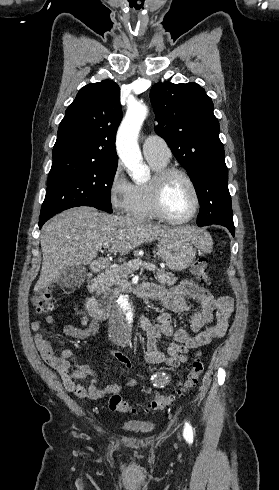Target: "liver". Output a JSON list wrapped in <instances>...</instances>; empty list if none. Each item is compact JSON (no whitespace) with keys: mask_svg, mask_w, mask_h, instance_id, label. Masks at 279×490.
Wrapping results in <instances>:
<instances>
[{"mask_svg":"<svg viewBox=\"0 0 279 490\" xmlns=\"http://www.w3.org/2000/svg\"><path fill=\"white\" fill-rule=\"evenodd\" d=\"M43 254L40 278L34 286L35 292L47 288L58 280L68 266H88L97 258L103 244L109 242V252L129 254L144 242L165 240L180 234L192 240L194 246L202 250V236L198 228H166L157 224H147L139 218L108 216L99 214L95 208H71L54 216L42 228Z\"/></svg>","mask_w":279,"mask_h":490,"instance_id":"liver-1","label":"liver"}]
</instances>
